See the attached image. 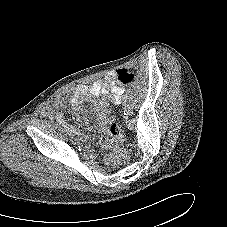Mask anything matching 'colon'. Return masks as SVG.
<instances>
[{"mask_svg": "<svg viewBox=\"0 0 227 227\" xmlns=\"http://www.w3.org/2000/svg\"><path fill=\"white\" fill-rule=\"evenodd\" d=\"M133 80V75L127 70H119L117 73V85L119 87H124L130 84ZM97 106L100 110L106 111L111 106V101L109 99H101L98 101ZM109 123L111 124L110 133H111V146L124 164L130 162L131 156L128 150L123 148V142L125 140L124 131L118 123V118L116 116H111L109 118Z\"/></svg>", "mask_w": 227, "mask_h": 227, "instance_id": "5ec220e1", "label": "colon"}]
</instances>
